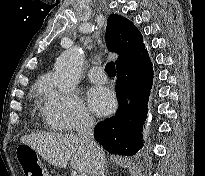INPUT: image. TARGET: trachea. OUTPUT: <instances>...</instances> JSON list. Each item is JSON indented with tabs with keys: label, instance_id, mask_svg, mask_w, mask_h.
<instances>
[{
	"label": "trachea",
	"instance_id": "1",
	"mask_svg": "<svg viewBox=\"0 0 205 176\" xmlns=\"http://www.w3.org/2000/svg\"><path fill=\"white\" fill-rule=\"evenodd\" d=\"M105 70L110 76L116 75L115 64L113 62H108L105 66Z\"/></svg>",
	"mask_w": 205,
	"mask_h": 176
}]
</instances>
